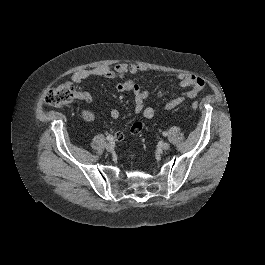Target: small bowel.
<instances>
[{
  "label": "small bowel",
  "instance_id": "obj_1",
  "mask_svg": "<svg viewBox=\"0 0 265 265\" xmlns=\"http://www.w3.org/2000/svg\"><path fill=\"white\" fill-rule=\"evenodd\" d=\"M146 71V68L142 65L136 63H119L115 66L101 65L91 69H82L74 72L71 75V80L75 83H80L83 80L92 77H103L108 79H122L125 75L136 74L139 72ZM177 78L182 87L190 88L186 96H178L169 101H167L163 108L166 110H171L182 104L186 98L193 99L197 97L199 92L203 89L205 82L202 78L189 73H178ZM116 89L119 92L131 91L134 95V111L137 114H142L147 119H152L156 115V110L151 105H146L145 101L149 97V93L142 89L137 83L130 79L121 80L117 83ZM158 96H162V91H159ZM82 99H89V95L86 93H80L79 95ZM110 116L113 119H117L120 116L118 109L113 108L110 110ZM143 124L140 122L134 123L130 128L131 134H136L141 131ZM117 140H123L125 134L122 132H117L115 134Z\"/></svg>",
  "mask_w": 265,
  "mask_h": 265
}]
</instances>
